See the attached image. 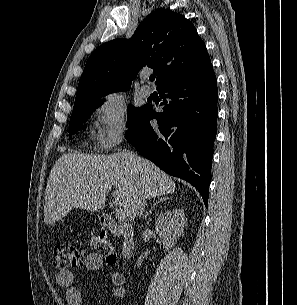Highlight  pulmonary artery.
Returning a JSON list of instances; mask_svg holds the SVG:
<instances>
[{
	"instance_id": "e3ab8cb5",
	"label": "pulmonary artery",
	"mask_w": 297,
	"mask_h": 305,
	"mask_svg": "<svg viewBox=\"0 0 297 305\" xmlns=\"http://www.w3.org/2000/svg\"><path fill=\"white\" fill-rule=\"evenodd\" d=\"M147 78H148L147 74H142L141 75V80L142 81L147 80ZM140 91H141V94H142L143 97H149L153 93L152 88L150 86H148V85H143L141 87Z\"/></svg>"
}]
</instances>
